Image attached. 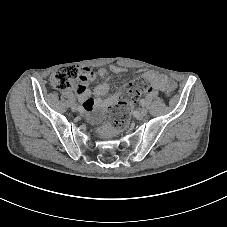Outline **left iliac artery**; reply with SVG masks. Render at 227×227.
Instances as JSON below:
<instances>
[{"label": "left iliac artery", "instance_id": "obj_1", "mask_svg": "<svg viewBox=\"0 0 227 227\" xmlns=\"http://www.w3.org/2000/svg\"><path fill=\"white\" fill-rule=\"evenodd\" d=\"M140 104H141L142 106H145V104H146L145 99H141V100H140Z\"/></svg>", "mask_w": 227, "mask_h": 227}]
</instances>
